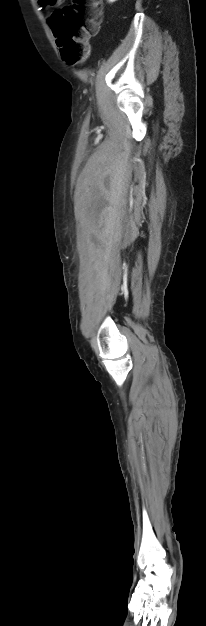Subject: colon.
I'll use <instances>...</instances> for the list:
<instances>
[{
	"mask_svg": "<svg viewBox=\"0 0 206 626\" xmlns=\"http://www.w3.org/2000/svg\"><path fill=\"white\" fill-rule=\"evenodd\" d=\"M42 2L56 6L62 0ZM101 19V0H72L70 5L52 14L50 25L65 62L77 64L82 61L87 52V41L97 33Z\"/></svg>",
	"mask_w": 206,
	"mask_h": 626,
	"instance_id": "1",
	"label": "colon"
}]
</instances>
